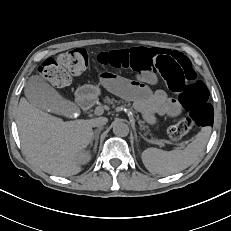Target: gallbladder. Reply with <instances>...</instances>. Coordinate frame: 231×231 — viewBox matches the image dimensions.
<instances>
[{
  "label": "gallbladder",
  "instance_id": "bac80fb5",
  "mask_svg": "<svg viewBox=\"0 0 231 231\" xmlns=\"http://www.w3.org/2000/svg\"><path fill=\"white\" fill-rule=\"evenodd\" d=\"M24 92L29 102L42 110L65 111L67 101L39 76L29 78Z\"/></svg>",
  "mask_w": 231,
  "mask_h": 231
}]
</instances>
